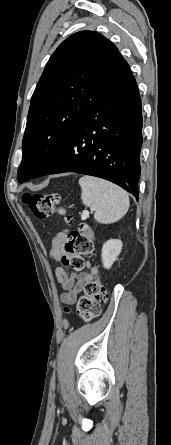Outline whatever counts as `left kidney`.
Listing matches in <instances>:
<instances>
[{"label":"left kidney","mask_w":171,"mask_h":445,"mask_svg":"<svg viewBox=\"0 0 171 445\" xmlns=\"http://www.w3.org/2000/svg\"><path fill=\"white\" fill-rule=\"evenodd\" d=\"M121 249L122 242L118 239H110L103 244L101 257L104 268H111L112 264L117 260Z\"/></svg>","instance_id":"5707ae66"}]
</instances>
